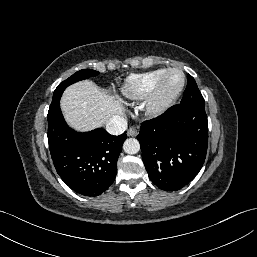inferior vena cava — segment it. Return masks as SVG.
I'll use <instances>...</instances> for the list:
<instances>
[{
	"mask_svg": "<svg viewBox=\"0 0 257 257\" xmlns=\"http://www.w3.org/2000/svg\"><path fill=\"white\" fill-rule=\"evenodd\" d=\"M105 128L112 135H120L127 129V121L119 115H113L106 122Z\"/></svg>",
	"mask_w": 257,
	"mask_h": 257,
	"instance_id": "obj_1",
	"label": "inferior vena cava"
}]
</instances>
